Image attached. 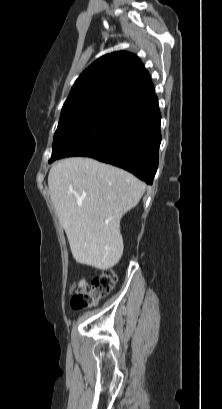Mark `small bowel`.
<instances>
[{
	"label": "small bowel",
	"instance_id": "small-bowel-1",
	"mask_svg": "<svg viewBox=\"0 0 222 409\" xmlns=\"http://www.w3.org/2000/svg\"><path fill=\"white\" fill-rule=\"evenodd\" d=\"M89 287V283L86 279L81 278L77 281H74L70 284L69 286V292H72L74 289H76L77 292L80 291H86Z\"/></svg>",
	"mask_w": 222,
	"mask_h": 409
}]
</instances>
